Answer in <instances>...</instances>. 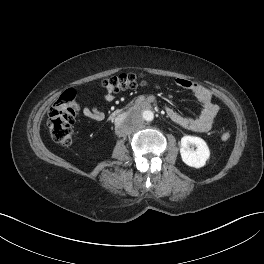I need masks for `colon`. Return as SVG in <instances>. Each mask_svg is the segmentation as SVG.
<instances>
[{"instance_id": "1", "label": "colon", "mask_w": 264, "mask_h": 264, "mask_svg": "<svg viewBox=\"0 0 264 264\" xmlns=\"http://www.w3.org/2000/svg\"><path fill=\"white\" fill-rule=\"evenodd\" d=\"M146 85V80L135 74H121L113 76L102 82L105 92L117 94L121 91L133 89ZM76 93L73 90H67L61 94L49 111L48 129L52 139L61 145H69L73 138V126L78 111L75 101ZM221 139L227 141L230 139V133L223 131Z\"/></svg>"}]
</instances>
